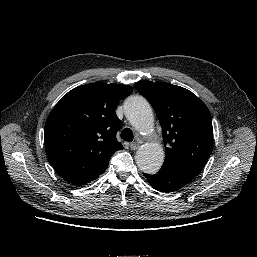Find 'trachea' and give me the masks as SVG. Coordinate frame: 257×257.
Wrapping results in <instances>:
<instances>
[{"mask_svg":"<svg viewBox=\"0 0 257 257\" xmlns=\"http://www.w3.org/2000/svg\"><path fill=\"white\" fill-rule=\"evenodd\" d=\"M133 132L130 128H125L121 132V138L125 141L132 142L133 141Z\"/></svg>","mask_w":257,"mask_h":257,"instance_id":"trachea-1","label":"trachea"}]
</instances>
